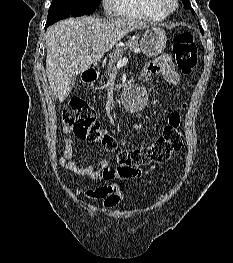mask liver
Returning a JSON list of instances; mask_svg holds the SVG:
<instances>
[{
    "label": "liver",
    "instance_id": "obj_1",
    "mask_svg": "<svg viewBox=\"0 0 233 263\" xmlns=\"http://www.w3.org/2000/svg\"><path fill=\"white\" fill-rule=\"evenodd\" d=\"M144 28L148 26L131 18L80 17L52 25L46 32V75L60 103L69 96L78 74L100 61L129 32Z\"/></svg>",
    "mask_w": 233,
    "mask_h": 263
}]
</instances>
